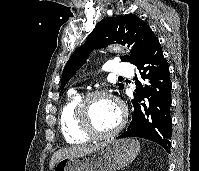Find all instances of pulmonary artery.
Segmentation results:
<instances>
[{
	"mask_svg": "<svg viewBox=\"0 0 199 171\" xmlns=\"http://www.w3.org/2000/svg\"><path fill=\"white\" fill-rule=\"evenodd\" d=\"M108 71L114 75L130 76L132 75V66L129 63L112 60L108 64Z\"/></svg>",
	"mask_w": 199,
	"mask_h": 171,
	"instance_id": "obj_1",
	"label": "pulmonary artery"
}]
</instances>
